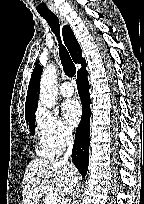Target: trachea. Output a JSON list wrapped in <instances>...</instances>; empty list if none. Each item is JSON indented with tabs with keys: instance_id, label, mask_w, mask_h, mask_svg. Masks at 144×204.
I'll list each match as a JSON object with an SVG mask.
<instances>
[{
	"instance_id": "1",
	"label": "trachea",
	"mask_w": 144,
	"mask_h": 204,
	"mask_svg": "<svg viewBox=\"0 0 144 204\" xmlns=\"http://www.w3.org/2000/svg\"><path fill=\"white\" fill-rule=\"evenodd\" d=\"M40 15L47 21L48 25L52 29L53 33L58 39L59 42V56L61 60V64L63 66V70L65 74L73 78L76 75V67L67 51V49L62 45L60 39V24L58 17L53 12L48 13H40Z\"/></svg>"
}]
</instances>
